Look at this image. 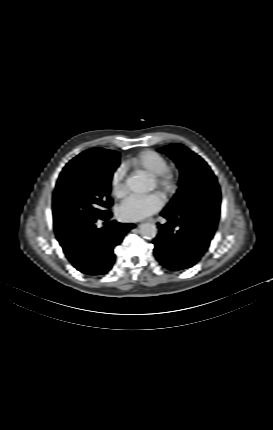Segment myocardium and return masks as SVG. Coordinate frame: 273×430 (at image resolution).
<instances>
[{"instance_id": "f54148a6", "label": "myocardium", "mask_w": 273, "mask_h": 430, "mask_svg": "<svg viewBox=\"0 0 273 430\" xmlns=\"http://www.w3.org/2000/svg\"><path fill=\"white\" fill-rule=\"evenodd\" d=\"M158 187L165 193L172 192L178 183V174L176 171L167 168L162 173L154 177Z\"/></svg>"}]
</instances>
